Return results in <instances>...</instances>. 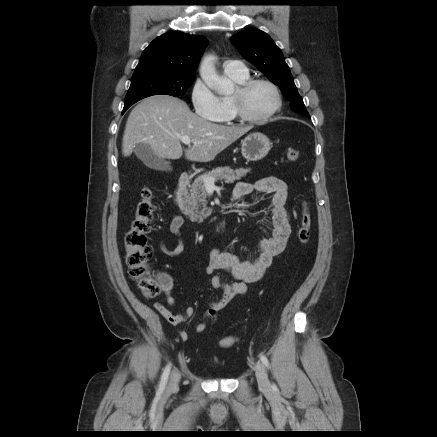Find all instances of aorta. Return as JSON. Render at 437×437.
<instances>
[{"mask_svg":"<svg viewBox=\"0 0 437 437\" xmlns=\"http://www.w3.org/2000/svg\"><path fill=\"white\" fill-rule=\"evenodd\" d=\"M215 57L213 55H207L200 65V76L204 83L217 94L226 95L230 94L234 90L233 83L227 79L218 75L215 68Z\"/></svg>","mask_w":437,"mask_h":437,"instance_id":"aorta-1","label":"aorta"}]
</instances>
